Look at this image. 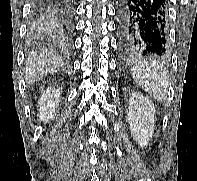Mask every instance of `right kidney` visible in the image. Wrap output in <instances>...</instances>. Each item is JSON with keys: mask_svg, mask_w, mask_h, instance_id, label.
Masks as SVG:
<instances>
[{"mask_svg": "<svg viewBox=\"0 0 197 181\" xmlns=\"http://www.w3.org/2000/svg\"><path fill=\"white\" fill-rule=\"evenodd\" d=\"M60 103V89L48 87L40 97L39 104V118L43 122H49L56 115V109Z\"/></svg>", "mask_w": 197, "mask_h": 181, "instance_id": "ca27d5eb", "label": "right kidney"}]
</instances>
